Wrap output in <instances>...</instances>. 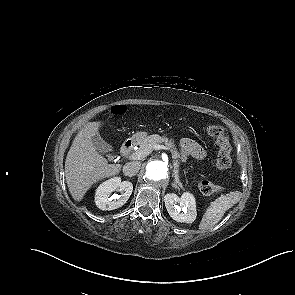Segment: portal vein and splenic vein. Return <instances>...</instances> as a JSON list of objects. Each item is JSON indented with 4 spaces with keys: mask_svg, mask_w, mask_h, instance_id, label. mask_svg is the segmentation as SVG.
Here are the masks:
<instances>
[{
    "mask_svg": "<svg viewBox=\"0 0 295 295\" xmlns=\"http://www.w3.org/2000/svg\"><path fill=\"white\" fill-rule=\"evenodd\" d=\"M153 149H155V150H160V149H163V150H167L168 148L166 147V146H164V145H159V144H157V145H154L153 146ZM143 157H145V155L144 154H142V153H133L131 156H130V159H132V160H140V159H142Z\"/></svg>",
    "mask_w": 295,
    "mask_h": 295,
    "instance_id": "obj_1",
    "label": "portal vein and splenic vein"
}]
</instances>
